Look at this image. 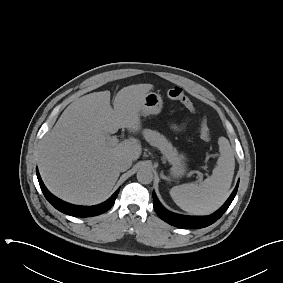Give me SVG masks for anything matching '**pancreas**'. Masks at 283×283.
I'll list each match as a JSON object with an SVG mask.
<instances>
[{"instance_id":"cf45deb5","label":"pancreas","mask_w":283,"mask_h":283,"mask_svg":"<svg viewBox=\"0 0 283 283\" xmlns=\"http://www.w3.org/2000/svg\"><path fill=\"white\" fill-rule=\"evenodd\" d=\"M143 135L145 140L151 146L157 147L170 163L174 164L179 159L177 150L162 134L151 129H145Z\"/></svg>"}]
</instances>
